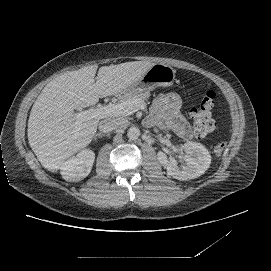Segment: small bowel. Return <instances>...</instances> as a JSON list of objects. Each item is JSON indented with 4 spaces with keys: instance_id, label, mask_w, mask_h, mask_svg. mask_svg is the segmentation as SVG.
<instances>
[{
    "instance_id": "obj_1",
    "label": "small bowel",
    "mask_w": 271,
    "mask_h": 271,
    "mask_svg": "<svg viewBox=\"0 0 271 271\" xmlns=\"http://www.w3.org/2000/svg\"><path fill=\"white\" fill-rule=\"evenodd\" d=\"M155 108L164 123L184 139L192 136V131L181 113L182 102L176 94H162L155 101Z\"/></svg>"
}]
</instances>
